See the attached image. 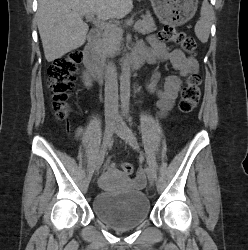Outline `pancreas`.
I'll return each instance as SVG.
<instances>
[{"instance_id": "cf45deb5", "label": "pancreas", "mask_w": 248, "mask_h": 250, "mask_svg": "<svg viewBox=\"0 0 248 250\" xmlns=\"http://www.w3.org/2000/svg\"><path fill=\"white\" fill-rule=\"evenodd\" d=\"M138 25L135 28L141 34H148L156 30V26L150 13L142 17V20L137 21ZM122 40V29L109 28L103 33L100 42L101 53L103 57L114 55L120 48Z\"/></svg>"}]
</instances>
